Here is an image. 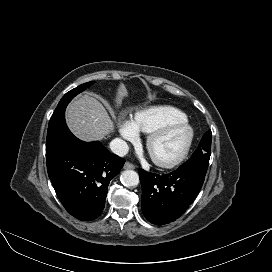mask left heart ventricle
Listing matches in <instances>:
<instances>
[{"mask_svg": "<svg viewBox=\"0 0 272 272\" xmlns=\"http://www.w3.org/2000/svg\"><path fill=\"white\" fill-rule=\"evenodd\" d=\"M185 139L186 131L184 129H175L154 143L152 154L158 159H170L181 151Z\"/></svg>", "mask_w": 272, "mask_h": 272, "instance_id": "1", "label": "left heart ventricle"}]
</instances>
